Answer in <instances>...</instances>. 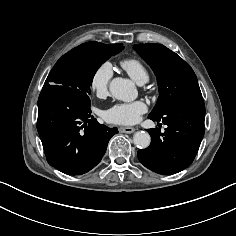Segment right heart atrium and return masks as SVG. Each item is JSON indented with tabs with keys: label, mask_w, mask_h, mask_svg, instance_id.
Returning a JSON list of instances; mask_svg holds the SVG:
<instances>
[{
	"label": "right heart atrium",
	"mask_w": 236,
	"mask_h": 236,
	"mask_svg": "<svg viewBox=\"0 0 236 236\" xmlns=\"http://www.w3.org/2000/svg\"><path fill=\"white\" fill-rule=\"evenodd\" d=\"M112 73V66L108 62L100 64L93 71L90 77V89L96 96L103 97L107 94Z\"/></svg>",
	"instance_id": "1"
}]
</instances>
